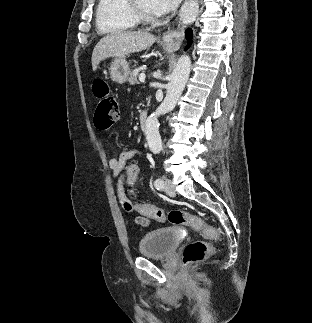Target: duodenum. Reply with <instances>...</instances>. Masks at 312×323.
Returning <instances> with one entry per match:
<instances>
[{
    "mask_svg": "<svg viewBox=\"0 0 312 323\" xmlns=\"http://www.w3.org/2000/svg\"><path fill=\"white\" fill-rule=\"evenodd\" d=\"M147 112L141 111L138 115V123L142 130L146 129Z\"/></svg>",
    "mask_w": 312,
    "mask_h": 323,
    "instance_id": "1",
    "label": "duodenum"
}]
</instances>
